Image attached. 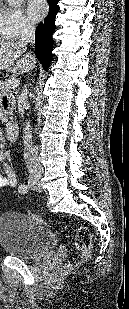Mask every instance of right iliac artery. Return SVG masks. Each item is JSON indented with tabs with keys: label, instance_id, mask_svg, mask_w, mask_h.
I'll list each match as a JSON object with an SVG mask.
<instances>
[{
	"label": "right iliac artery",
	"instance_id": "right-iliac-artery-1",
	"mask_svg": "<svg viewBox=\"0 0 129 309\" xmlns=\"http://www.w3.org/2000/svg\"><path fill=\"white\" fill-rule=\"evenodd\" d=\"M28 190H29V187H28L27 185H25V184L19 186V192H20L21 194L27 193Z\"/></svg>",
	"mask_w": 129,
	"mask_h": 309
}]
</instances>
